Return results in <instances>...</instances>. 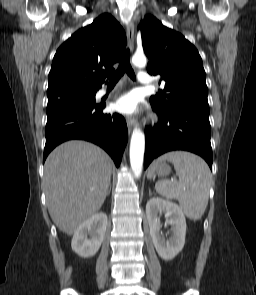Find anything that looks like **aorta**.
Instances as JSON below:
<instances>
[{
  "mask_svg": "<svg viewBox=\"0 0 256 295\" xmlns=\"http://www.w3.org/2000/svg\"><path fill=\"white\" fill-rule=\"evenodd\" d=\"M132 63L143 68L146 66V57L144 54H134ZM145 150V136L139 127H135L130 142V164L134 175L138 178L141 176L143 168V158Z\"/></svg>",
  "mask_w": 256,
  "mask_h": 295,
  "instance_id": "1",
  "label": "aorta"
}]
</instances>
